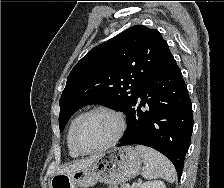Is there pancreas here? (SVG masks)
<instances>
[{"mask_svg": "<svg viewBox=\"0 0 224 188\" xmlns=\"http://www.w3.org/2000/svg\"><path fill=\"white\" fill-rule=\"evenodd\" d=\"M109 188H117L116 186H110ZM120 188H127V184L122 183L120 184Z\"/></svg>", "mask_w": 224, "mask_h": 188, "instance_id": "cf45deb5", "label": "pancreas"}]
</instances>
